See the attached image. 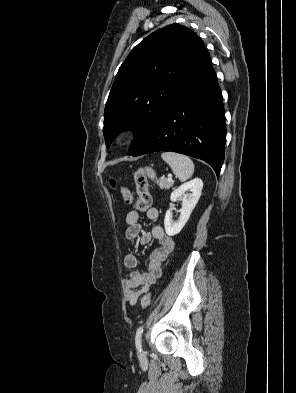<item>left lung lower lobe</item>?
I'll use <instances>...</instances> for the list:
<instances>
[{
	"instance_id": "left-lung-lower-lobe-1",
	"label": "left lung lower lobe",
	"mask_w": 296,
	"mask_h": 393,
	"mask_svg": "<svg viewBox=\"0 0 296 393\" xmlns=\"http://www.w3.org/2000/svg\"><path fill=\"white\" fill-rule=\"evenodd\" d=\"M225 138L222 93L209 58L132 155L177 152L204 160L219 176L224 162Z\"/></svg>"
}]
</instances>
